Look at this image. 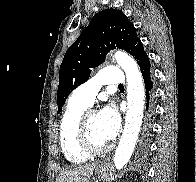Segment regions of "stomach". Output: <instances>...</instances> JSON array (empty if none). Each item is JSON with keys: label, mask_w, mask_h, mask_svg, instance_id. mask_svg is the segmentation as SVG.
I'll use <instances>...</instances> for the list:
<instances>
[{"label": "stomach", "mask_w": 196, "mask_h": 182, "mask_svg": "<svg viewBox=\"0 0 196 182\" xmlns=\"http://www.w3.org/2000/svg\"><path fill=\"white\" fill-rule=\"evenodd\" d=\"M96 174L98 175L99 178L101 179H108V168L106 165L99 164L96 168Z\"/></svg>", "instance_id": "obj_1"}]
</instances>
